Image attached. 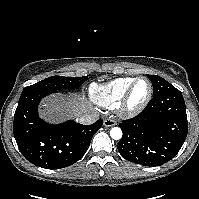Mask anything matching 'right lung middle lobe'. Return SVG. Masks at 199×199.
<instances>
[{"mask_svg":"<svg viewBox=\"0 0 199 199\" xmlns=\"http://www.w3.org/2000/svg\"><path fill=\"white\" fill-rule=\"evenodd\" d=\"M87 76L83 77H63V76H52L48 77L36 84L27 86L24 88L23 92L36 90L46 93H53L58 90L64 89H74L79 88L85 81Z\"/></svg>","mask_w":199,"mask_h":199,"instance_id":"right-lung-middle-lobe-1","label":"right lung middle lobe"}]
</instances>
